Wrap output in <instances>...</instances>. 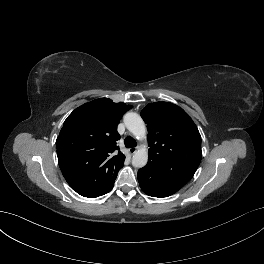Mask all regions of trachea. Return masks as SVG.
Returning <instances> with one entry per match:
<instances>
[{"instance_id": "3493384b", "label": "trachea", "mask_w": 264, "mask_h": 264, "mask_svg": "<svg viewBox=\"0 0 264 264\" xmlns=\"http://www.w3.org/2000/svg\"><path fill=\"white\" fill-rule=\"evenodd\" d=\"M125 146L127 148L136 147V141L132 137H126L124 140Z\"/></svg>"}]
</instances>
